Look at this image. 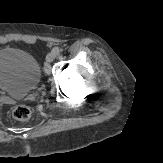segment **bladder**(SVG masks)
I'll list each match as a JSON object with an SVG mask.
<instances>
[{
  "instance_id": "1",
  "label": "bladder",
  "mask_w": 163,
  "mask_h": 163,
  "mask_svg": "<svg viewBox=\"0 0 163 163\" xmlns=\"http://www.w3.org/2000/svg\"><path fill=\"white\" fill-rule=\"evenodd\" d=\"M41 69L37 59L17 48L0 50V91L21 98L40 81Z\"/></svg>"
}]
</instances>
